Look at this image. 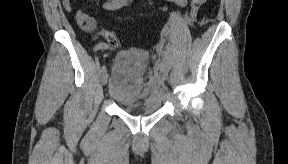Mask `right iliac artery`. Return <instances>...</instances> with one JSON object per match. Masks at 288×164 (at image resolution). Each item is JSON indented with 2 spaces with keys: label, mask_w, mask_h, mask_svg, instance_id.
<instances>
[{
  "label": "right iliac artery",
  "mask_w": 288,
  "mask_h": 164,
  "mask_svg": "<svg viewBox=\"0 0 288 164\" xmlns=\"http://www.w3.org/2000/svg\"><path fill=\"white\" fill-rule=\"evenodd\" d=\"M109 44L107 43H99L98 45H96L95 47V50H98V49H109Z\"/></svg>",
  "instance_id": "1"
}]
</instances>
